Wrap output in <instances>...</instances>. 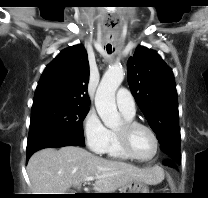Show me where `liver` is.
<instances>
[{"instance_id": "obj_1", "label": "liver", "mask_w": 208, "mask_h": 198, "mask_svg": "<svg viewBox=\"0 0 208 198\" xmlns=\"http://www.w3.org/2000/svg\"><path fill=\"white\" fill-rule=\"evenodd\" d=\"M27 171L33 194H68L65 192L71 186L79 189L87 177H95L94 189L103 193H112L133 181L156 184L163 179L154 168L140 169L107 160L77 146L36 152L29 159Z\"/></svg>"}]
</instances>
